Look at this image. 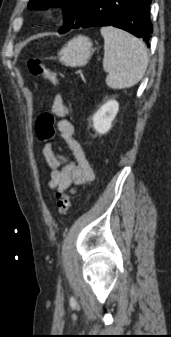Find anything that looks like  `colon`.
I'll list each match as a JSON object with an SVG mask.
<instances>
[{"label": "colon", "instance_id": "5ec220e1", "mask_svg": "<svg viewBox=\"0 0 171 337\" xmlns=\"http://www.w3.org/2000/svg\"><path fill=\"white\" fill-rule=\"evenodd\" d=\"M28 69L33 76L43 77L51 82H57L59 75L37 59H30L27 63ZM55 118L51 112L41 113L35 123V132L39 139L50 141L55 135ZM57 213L65 215L70 206V196L65 191H57Z\"/></svg>", "mask_w": 171, "mask_h": 337}]
</instances>
